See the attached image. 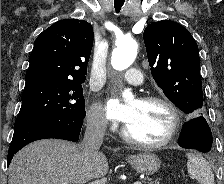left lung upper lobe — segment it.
I'll use <instances>...</instances> for the list:
<instances>
[{
	"instance_id": "1",
	"label": "left lung upper lobe",
	"mask_w": 224,
	"mask_h": 184,
	"mask_svg": "<svg viewBox=\"0 0 224 184\" xmlns=\"http://www.w3.org/2000/svg\"><path fill=\"white\" fill-rule=\"evenodd\" d=\"M151 73L167 98L196 117L203 107L198 46L182 25L163 20L149 24L143 34Z\"/></svg>"
}]
</instances>
